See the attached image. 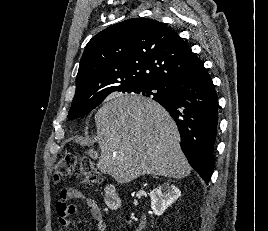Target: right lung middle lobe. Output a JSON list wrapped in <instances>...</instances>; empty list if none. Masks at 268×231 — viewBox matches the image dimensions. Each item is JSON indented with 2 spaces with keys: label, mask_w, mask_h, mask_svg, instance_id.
Masks as SVG:
<instances>
[{
  "label": "right lung middle lobe",
  "mask_w": 268,
  "mask_h": 231,
  "mask_svg": "<svg viewBox=\"0 0 268 231\" xmlns=\"http://www.w3.org/2000/svg\"><path fill=\"white\" fill-rule=\"evenodd\" d=\"M122 92L128 93H142L143 96L152 97L154 100L157 98H163L166 95V89L164 86L159 84H144L139 86L127 87L121 90ZM104 99L99 100L95 103L89 105H80L76 103H72L68 119L73 120L75 118L84 116L96 108L98 105L102 103Z\"/></svg>",
  "instance_id": "1"
}]
</instances>
